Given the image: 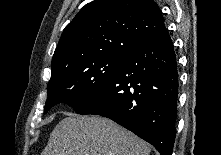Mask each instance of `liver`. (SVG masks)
<instances>
[{"label":"liver","mask_w":221,"mask_h":155,"mask_svg":"<svg viewBox=\"0 0 221 155\" xmlns=\"http://www.w3.org/2000/svg\"><path fill=\"white\" fill-rule=\"evenodd\" d=\"M151 148L132 132L99 116L62 119L41 155H149Z\"/></svg>","instance_id":"6515ba94"}]
</instances>
